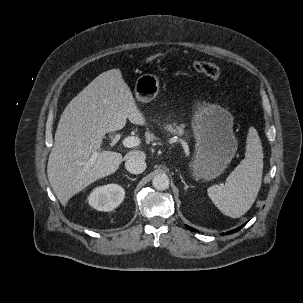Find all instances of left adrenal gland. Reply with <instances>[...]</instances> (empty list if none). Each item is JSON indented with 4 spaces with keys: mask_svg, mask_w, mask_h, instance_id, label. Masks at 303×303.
Returning a JSON list of instances; mask_svg holds the SVG:
<instances>
[{
    "mask_svg": "<svg viewBox=\"0 0 303 303\" xmlns=\"http://www.w3.org/2000/svg\"><path fill=\"white\" fill-rule=\"evenodd\" d=\"M180 179H181L182 183L184 184V189L187 191L188 188H189V186L186 184V182L184 181V179H183V177H182L181 174H180Z\"/></svg>",
    "mask_w": 303,
    "mask_h": 303,
    "instance_id": "left-adrenal-gland-1",
    "label": "left adrenal gland"
}]
</instances>
